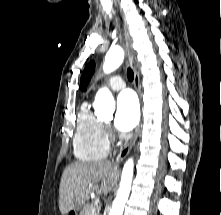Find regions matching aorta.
<instances>
[{"label": "aorta", "instance_id": "obj_1", "mask_svg": "<svg viewBox=\"0 0 221 215\" xmlns=\"http://www.w3.org/2000/svg\"><path fill=\"white\" fill-rule=\"evenodd\" d=\"M124 51L120 46L111 47L106 53L103 71L108 74L115 71L123 62ZM115 107L114 98L110 90L106 87L101 88L95 97L94 109L97 114L113 111ZM134 162L130 158L123 167L121 181L117 195L112 203L109 215H122L124 206L128 200L133 179Z\"/></svg>", "mask_w": 221, "mask_h": 215}]
</instances>
